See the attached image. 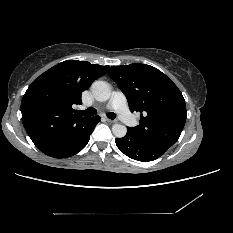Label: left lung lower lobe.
Segmentation results:
<instances>
[{"mask_svg":"<svg viewBox=\"0 0 233 233\" xmlns=\"http://www.w3.org/2000/svg\"><path fill=\"white\" fill-rule=\"evenodd\" d=\"M115 142L122 153L132 159L143 162L155 160L167 151L138 140L128 131L123 138H116Z\"/></svg>","mask_w":233,"mask_h":233,"instance_id":"left-lung-lower-lobe-1","label":"left lung lower lobe"}]
</instances>
